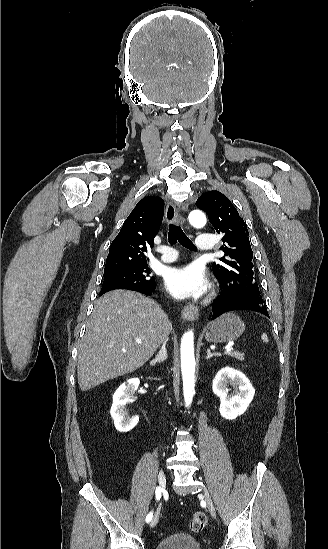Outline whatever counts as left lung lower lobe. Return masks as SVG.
Wrapping results in <instances>:
<instances>
[{
  "label": "left lung lower lobe",
  "mask_w": 328,
  "mask_h": 549,
  "mask_svg": "<svg viewBox=\"0 0 328 549\" xmlns=\"http://www.w3.org/2000/svg\"><path fill=\"white\" fill-rule=\"evenodd\" d=\"M222 288V286H221ZM233 310H251L260 312L269 317L266 305L263 301L239 293H230L221 291L220 295L213 302L212 319Z\"/></svg>",
  "instance_id": "0a47b994"
}]
</instances>
